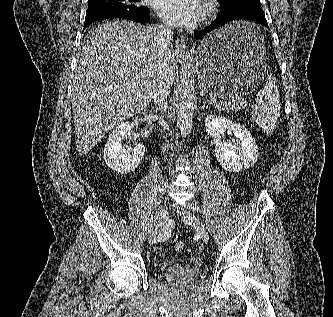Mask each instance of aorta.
<instances>
[{
    "instance_id": "1",
    "label": "aorta",
    "mask_w": 333,
    "mask_h": 317,
    "mask_svg": "<svg viewBox=\"0 0 333 317\" xmlns=\"http://www.w3.org/2000/svg\"><path fill=\"white\" fill-rule=\"evenodd\" d=\"M193 101L190 94H185L182 105L178 111L177 126L182 136H188L193 124Z\"/></svg>"
}]
</instances>
